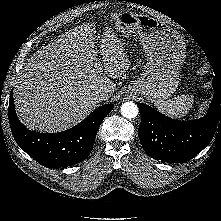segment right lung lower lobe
I'll list each match as a JSON object with an SVG mask.
<instances>
[{
  "mask_svg": "<svg viewBox=\"0 0 221 221\" xmlns=\"http://www.w3.org/2000/svg\"><path fill=\"white\" fill-rule=\"evenodd\" d=\"M113 107V104H107L97 108L82 122L66 131L39 133L28 130L19 121L11 92L8 118L17 144L29 156L47 168L65 167L87 158L102 120Z\"/></svg>",
  "mask_w": 221,
  "mask_h": 221,
  "instance_id": "1",
  "label": "right lung lower lobe"
}]
</instances>
